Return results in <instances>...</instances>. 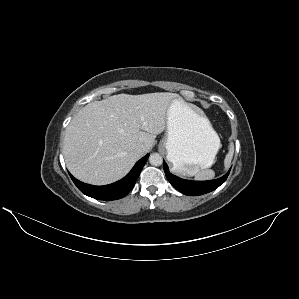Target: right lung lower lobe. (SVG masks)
Instances as JSON below:
<instances>
[{
	"label": "right lung lower lobe",
	"mask_w": 299,
	"mask_h": 299,
	"mask_svg": "<svg viewBox=\"0 0 299 299\" xmlns=\"http://www.w3.org/2000/svg\"><path fill=\"white\" fill-rule=\"evenodd\" d=\"M149 154L140 159L132 170L123 179L105 186H94L80 182L70 173V177L78 189L85 195L98 199V200H116L127 195L134 187L136 180L139 177L143 166L145 165Z\"/></svg>",
	"instance_id": "obj_1"
}]
</instances>
